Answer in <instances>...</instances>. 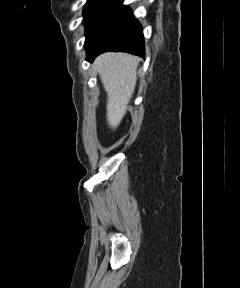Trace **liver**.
<instances>
[{"label": "liver", "instance_id": "obj_1", "mask_svg": "<svg viewBox=\"0 0 240 288\" xmlns=\"http://www.w3.org/2000/svg\"><path fill=\"white\" fill-rule=\"evenodd\" d=\"M141 59L126 53H104L94 62L107 93V121L118 127L126 114L137 81V67Z\"/></svg>", "mask_w": 240, "mask_h": 288}]
</instances>
